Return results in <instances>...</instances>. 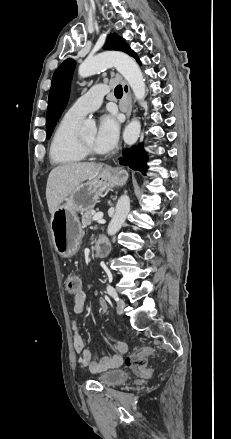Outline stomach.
<instances>
[{
	"label": "stomach",
	"mask_w": 231,
	"mask_h": 439,
	"mask_svg": "<svg viewBox=\"0 0 231 439\" xmlns=\"http://www.w3.org/2000/svg\"><path fill=\"white\" fill-rule=\"evenodd\" d=\"M128 178L125 170L103 168L87 182L79 184L51 216V231L56 251L63 258L74 256L81 244L83 228L78 212L92 209L104 192L123 185Z\"/></svg>",
	"instance_id": "stomach-1"
}]
</instances>
